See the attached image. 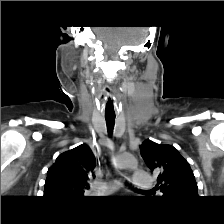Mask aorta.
Segmentation results:
<instances>
[{"label": "aorta", "mask_w": 224, "mask_h": 224, "mask_svg": "<svg viewBox=\"0 0 224 224\" xmlns=\"http://www.w3.org/2000/svg\"><path fill=\"white\" fill-rule=\"evenodd\" d=\"M115 164L117 167L121 169L124 168L135 169L138 166V161L134 156L130 154H121L116 157Z\"/></svg>", "instance_id": "aorta-1"}]
</instances>
